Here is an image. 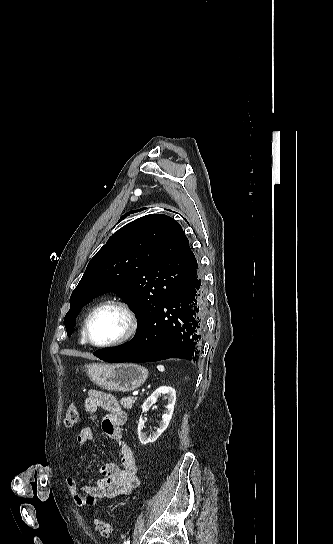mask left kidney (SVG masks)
Returning a JSON list of instances; mask_svg holds the SVG:
<instances>
[{
	"label": "left kidney",
	"instance_id": "left-kidney-1",
	"mask_svg": "<svg viewBox=\"0 0 333 544\" xmlns=\"http://www.w3.org/2000/svg\"><path fill=\"white\" fill-rule=\"evenodd\" d=\"M164 395H167L165 396V398L168 400V404L166 406L167 410L162 415V422L160 423L159 428H157L155 432L148 436L147 433L143 431L145 420L142 418V416L139 419L138 437L142 444L155 442L159 438V436L166 430L170 423L176 401V391L172 387L161 386L157 390H155L151 394V396H149L147 400H145V402L143 403L142 412H147L149 408L156 403L157 399Z\"/></svg>",
	"mask_w": 333,
	"mask_h": 544
}]
</instances>
